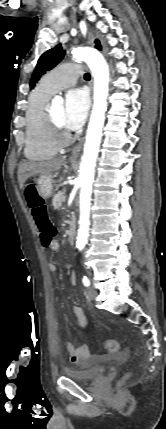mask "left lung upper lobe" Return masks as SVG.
Returning <instances> with one entry per match:
<instances>
[{
	"label": "left lung upper lobe",
	"instance_id": "obj_1",
	"mask_svg": "<svg viewBox=\"0 0 166 429\" xmlns=\"http://www.w3.org/2000/svg\"><path fill=\"white\" fill-rule=\"evenodd\" d=\"M96 48L101 50V45L99 40L95 41ZM65 55V50L62 49L61 44L56 45L54 48L48 50L39 58L38 63L34 69V72L31 77L30 87L33 88L38 82L40 77L45 74L47 71L54 68Z\"/></svg>",
	"mask_w": 166,
	"mask_h": 429
}]
</instances>
